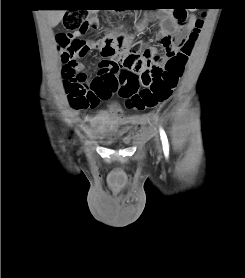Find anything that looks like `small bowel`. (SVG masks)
I'll list each match as a JSON object with an SVG mask.
<instances>
[{
  "label": "small bowel",
  "instance_id": "small-bowel-1",
  "mask_svg": "<svg viewBox=\"0 0 245 278\" xmlns=\"http://www.w3.org/2000/svg\"><path fill=\"white\" fill-rule=\"evenodd\" d=\"M154 18L160 20V27L155 33V42L160 46L165 48L166 57H169L177 53L178 48L175 46L176 39L185 38L191 31L195 29V18L193 16L184 17L182 19H177L174 17L168 10L165 8L159 7L153 14ZM94 18V15H92ZM146 27V22L140 23L138 25L139 31L144 30ZM84 34L82 31H78L73 34L72 38H81ZM89 49L91 50H101L103 61L99 63L100 74L94 78L96 82V92L102 93L103 95L99 97V101L107 100L112 97L109 87V77L114 76L119 64L117 62L118 50L121 59V66L126 71H138L141 72L146 68L147 62L150 65H158L163 67V62L157 61V54L154 53L155 47L148 46L145 48L144 52L149 56L147 60L144 57H136L135 54L128 51V42H117L112 37H104L97 40H91L87 43ZM75 71L80 72L84 70V66L81 63L76 62V65L73 68ZM64 86L66 84L65 80L63 81ZM126 122L132 123H141L143 125L147 124L150 121L149 115L135 116L125 120ZM109 119L105 115H101L95 119L93 124L89 127V132L95 136H99L100 133L109 126Z\"/></svg>",
  "mask_w": 245,
  "mask_h": 278
}]
</instances>
